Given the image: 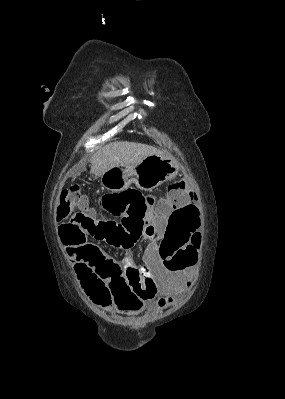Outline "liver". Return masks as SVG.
<instances>
[{
    "label": "liver",
    "mask_w": 285,
    "mask_h": 399,
    "mask_svg": "<svg viewBox=\"0 0 285 399\" xmlns=\"http://www.w3.org/2000/svg\"><path fill=\"white\" fill-rule=\"evenodd\" d=\"M161 155L155 147L117 141L99 149L91 159V173L101 177L106 171L117 166H134L149 155Z\"/></svg>",
    "instance_id": "6515ba94"
}]
</instances>
